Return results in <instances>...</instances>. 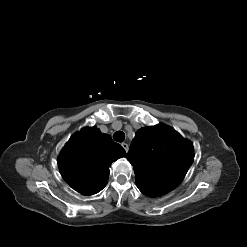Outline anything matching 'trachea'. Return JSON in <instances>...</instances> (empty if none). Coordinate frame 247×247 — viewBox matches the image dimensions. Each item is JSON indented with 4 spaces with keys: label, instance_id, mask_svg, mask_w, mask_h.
<instances>
[{
    "label": "trachea",
    "instance_id": "3493384b",
    "mask_svg": "<svg viewBox=\"0 0 247 247\" xmlns=\"http://www.w3.org/2000/svg\"><path fill=\"white\" fill-rule=\"evenodd\" d=\"M113 139L117 142H123L125 139V134L122 131H117L113 134Z\"/></svg>",
    "mask_w": 247,
    "mask_h": 247
}]
</instances>
